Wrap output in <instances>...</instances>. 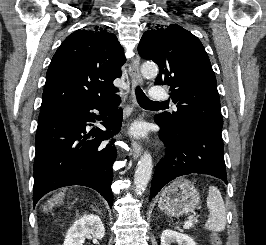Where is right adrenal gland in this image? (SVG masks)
<instances>
[{
	"instance_id": "2a0ac1e0",
	"label": "right adrenal gland",
	"mask_w": 266,
	"mask_h": 245,
	"mask_svg": "<svg viewBox=\"0 0 266 245\" xmlns=\"http://www.w3.org/2000/svg\"><path fill=\"white\" fill-rule=\"evenodd\" d=\"M93 211H96V209H94V207H92ZM100 215H102V213H100Z\"/></svg>"
}]
</instances>
